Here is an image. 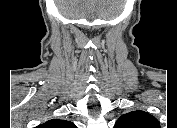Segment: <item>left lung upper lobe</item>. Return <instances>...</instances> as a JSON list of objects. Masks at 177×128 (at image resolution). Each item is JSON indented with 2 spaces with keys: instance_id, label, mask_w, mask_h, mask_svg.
I'll use <instances>...</instances> for the list:
<instances>
[{
  "instance_id": "obj_1",
  "label": "left lung upper lobe",
  "mask_w": 177,
  "mask_h": 128,
  "mask_svg": "<svg viewBox=\"0 0 177 128\" xmlns=\"http://www.w3.org/2000/svg\"><path fill=\"white\" fill-rule=\"evenodd\" d=\"M157 119L144 111L123 114L115 123V128H158Z\"/></svg>"
}]
</instances>
